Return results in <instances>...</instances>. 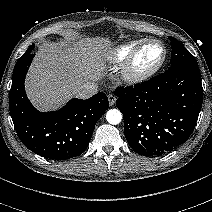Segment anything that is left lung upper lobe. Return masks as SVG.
<instances>
[{
  "label": "left lung upper lobe",
  "instance_id": "1",
  "mask_svg": "<svg viewBox=\"0 0 212 212\" xmlns=\"http://www.w3.org/2000/svg\"><path fill=\"white\" fill-rule=\"evenodd\" d=\"M169 40L172 47L171 66L169 69L198 64L194 56L177 39L169 36Z\"/></svg>",
  "mask_w": 212,
  "mask_h": 212
}]
</instances>
